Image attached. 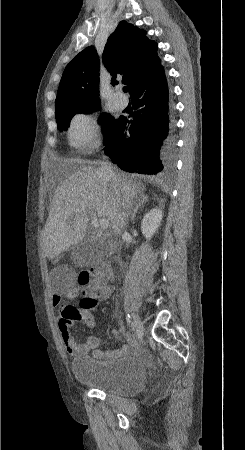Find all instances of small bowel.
<instances>
[{"label": "small bowel", "instance_id": "small-bowel-1", "mask_svg": "<svg viewBox=\"0 0 245 450\" xmlns=\"http://www.w3.org/2000/svg\"><path fill=\"white\" fill-rule=\"evenodd\" d=\"M112 287L105 285V286H99L95 285L92 289L93 295L92 298L94 302L97 300H103L108 298L112 293ZM76 295V290L72 289L71 292L67 294L68 298H72ZM63 297L61 295H51L50 297V305L53 307L58 306ZM92 309L90 310H82L79 309L81 318L80 320L85 323L90 328H95L96 322L94 319V316L92 314ZM59 331L61 335V339L65 345V348L67 352L73 356H79L84 355L92 352V354L95 357L101 356L106 353H110L112 355H122L123 353L127 352L130 349V346L135 347L136 341L131 340L130 346H123L119 349H115L111 352H104L102 350L97 349L100 343V340L96 336H90L82 343H77L71 333H70V326H68L66 323H63V321H59ZM115 332V330H113Z\"/></svg>", "mask_w": 245, "mask_h": 450}]
</instances>
